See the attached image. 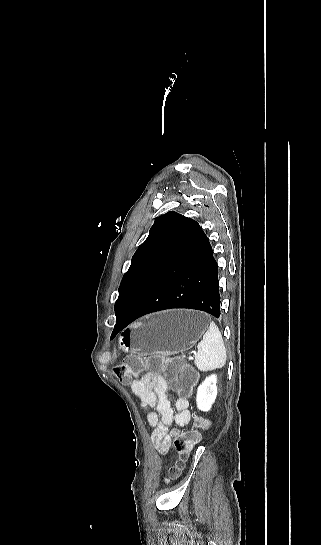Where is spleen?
Listing matches in <instances>:
<instances>
[{
	"mask_svg": "<svg viewBox=\"0 0 321 545\" xmlns=\"http://www.w3.org/2000/svg\"><path fill=\"white\" fill-rule=\"evenodd\" d=\"M197 349L195 363L199 371H215L224 367L227 353L223 337L213 321L203 335L202 341L198 343Z\"/></svg>",
	"mask_w": 321,
	"mask_h": 545,
	"instance_id": "obj_1",
	"label": "spleen"
}]
</instances>
